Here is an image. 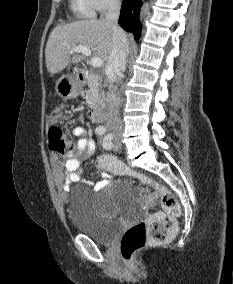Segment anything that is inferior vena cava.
Segmentation results:
<instances>
[{"mask_svg":"<svg viewBox=\"0 0 233 284\" xmlns=\"http://www.w3.org/2000/svg\"><path fill=\"white\" fill-rule=\"evenodd\" d=\"M120 0H109L104 20L112 25L113 46L106 66V75L110 87L107 93L108 114L106 128L114 134L123 130V121L120 117V96L114 83L123 75L126 69V58L129 54V42L126 33L118 26L120 14Z\"/></svg>","mask_w":233,"mask_h":284,"instance_id":"1","label":"inferior vena cava"}]
</instances>
